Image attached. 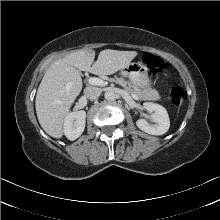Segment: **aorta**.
Here are the masks:
<instances>
[{
    "mask_svg": "<svg viewBox=\"0 0 220 220\" xmlns=\"http://www.w3.org/2000/svg\"><path fill=\"white\" fill-rule=\"evenodd\" d=\"M104 97L107 101H114L117 95L113 91L109 90L105 92Z\"/></svg>",
    "mask_w": 220,
    "mask_h": 220,
    "instance_id": "obj_1",
    "label": "aorta"
}]
</instances>
